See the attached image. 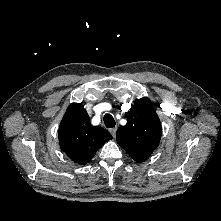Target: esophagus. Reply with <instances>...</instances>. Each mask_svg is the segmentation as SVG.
<instances>
[{"label": "esophagus", "instance_id": "esophagus-1", "mask_svg": "<svg viewBox=\"0 0 221 221\" xmlns=\"http://www.w3.org/2000/svg\"><path fill=\"white\" fill-rule=\"evenodd\" d=\"M116 130H117L116 127H113V128H111V129H109V132L111 133V135H112L113 137H115V135H116Z\"/></svg>", "mask_w": 221, "mask_h": 221}]
</instances>
